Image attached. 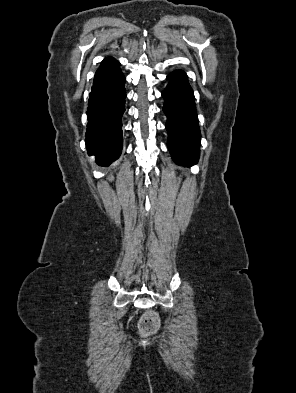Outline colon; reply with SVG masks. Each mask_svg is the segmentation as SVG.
I'll list each match as a JSON object with an SVG mask.
<instances>
[{"label":"colon","mask_w":296,"mask_h":393,"mask_svg":"<svg viewBox=\"0 0 296 393\" xmlns=\"http://www.w3.org/2000/svg\"><path fill=\"white\" fill-rule=\"evenodd\" d=\"M160 327V318L155 311H147L140 318L138 329L144 336L154 334Z\"/></svg>","instance_id":"obj_1"}]
</instances>
